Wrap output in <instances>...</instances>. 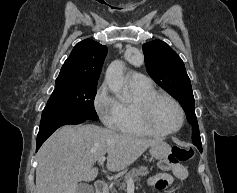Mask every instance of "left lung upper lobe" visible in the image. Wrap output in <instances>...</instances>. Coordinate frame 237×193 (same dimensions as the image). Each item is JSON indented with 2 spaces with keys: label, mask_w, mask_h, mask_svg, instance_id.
Listing matches in <instances>:
<instances>
[{
  "label": "left lung upper lobe",
  "mask_w": 237,
  "mask_h": 193,
  "mask_svg": "<svg viewBox=\"0 0 237 193\" xmlns=\"http://www.w3.org/2000/svg\"><path fill=\"white\" fill-rule=\"evenodd\" d=\"M142 48L148 74L181 104L192 125L193 144L202 149L191 82L183 61L161 40L145 43Z\"/></svg>",
  "instance_id": "1"
}]
</instances>
